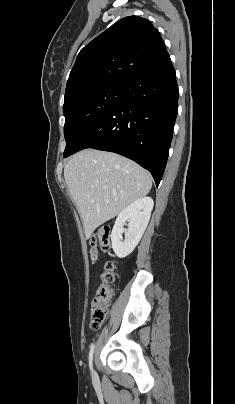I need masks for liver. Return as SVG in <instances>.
I'll list each match as a JSON object with an SVG mask.
<instances>
[{"instance_id":"liver-1","label":"liver","mask_w":235,"mask_h":404,"mask_svg":"<svg viewBox=\"0 0 235 404\" xmlns=\"http://www.w3.org/2000/svg\"><path fill=\"white\" fill-rule=\"evenodd\" d=\"M68 189L83 221L86 238L152 187L151 174L121 155L86 149L64 167Z\"/></svg>"}]
</instances>
